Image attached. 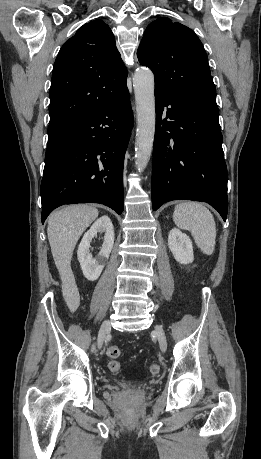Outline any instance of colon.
Listing matches in <instances>:
<instances>
[{"mask_svg":"<svg viewBox=\"0 0 261 459\" xmlns=\"http://www.w3.org/2000/svg\"><path fill=\"white\" fill-rule=\"evenodd\" d=\"M106 355L109 358L108 368L113 373H118L120 371V363L116 360L120 355L121 351L118 346L110 345L106 349ZM161 370V367L158 363H152L149 366V372L152 375H157Z\"/></svg>","mask_w":261,"mask_h":459,"instance_id":"5ec220e1","label":"colon"}]
</instances>
